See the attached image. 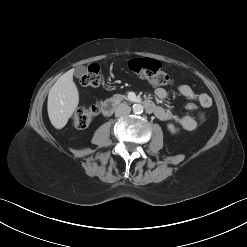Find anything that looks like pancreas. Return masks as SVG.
Here are the masks:
<instances>
[{
    "label": "pancreas",
    "mask_w": 247,
    "mask_h": 247,
    "mask_svg": "<svg viewBox=\"0 0 247 247\" xmlns=\"http://www.w3.org/2000/svg\"><path fill=\"white\" fill-rule=\"evenodd\" d=\"M127 97L125 95H121V94H115L113 96V100L116 101V102H120L122 101L123 99H126Z\"/></svg>",
    "instance_id": "pancreas-1"
}]
</instances>
